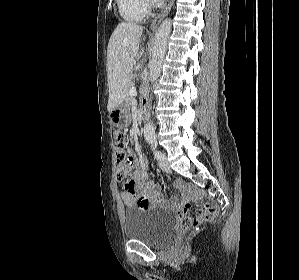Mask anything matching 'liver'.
<instances>
[{
    "mask_svg": "<svg viewBox=\"0 0 299 280\" xmlns=\"http://www.w3.org/2000/svg\"><path fill=\"white\" fill-rule=\"evenodd\" d=\"M142 31L143 27L140 25L122 22L117 25L110 37L107 49L108 112L121 105L127 96Z\"/></svg>",
    "mask_w": 299,
    "mask_h": 280,
    "instance_id": "6515ba94",
    "label": "liver"
}]
</instances>
